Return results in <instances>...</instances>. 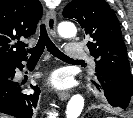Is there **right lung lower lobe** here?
<instances>
[{"label": "right lung lower lobe", "instance_id": "obj_1", "mask_svg": "<svg viewBox=\"0 0 133 118\" xmlns=\"http://www.w3.org/2000/svg\"><path fill=\"white\" fill-rule=\"evenodd\" d=\"M21 62L9 66L8 75L0 79V112L16 118H31L33 109L37 106L40 90L31 85L35 93L28 94L22 84L13 81L15 69L24 67Z\"/></svg>", "mask_w": 133, "mask_h": 118}]
</instances>
